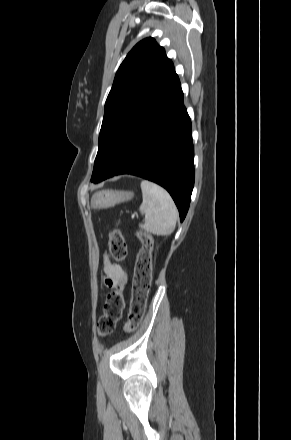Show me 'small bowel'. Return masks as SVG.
I'll use <instances>...</instances> for the list:
<instances>
[{
  "label": "small bowel",
  "instance_id": "obj_1",
  "mask_svg": "<svg viewBox=\"0 0 291 440\" xmlns=\"http://www.w3.org/2000/svg\"><path fill=\"white\" fill-rule=\"evenodd\" d=\"M103 272L109 277H113L116 279L123 278V274L121 273L119 266L111 262L107 254H104L103 256Z\"/></svg>",
  "mask_w": 291,
  "mask_h": 440
}]
</instances>
